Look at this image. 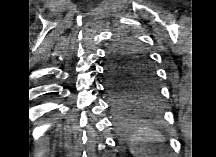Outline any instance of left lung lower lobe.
Returning a JSON list of instances; mask_svg holds the SVG:
<instances>
[{
  "instance_id": "0a47b994",
  "label": "left lung lower lobe",
  "mask_w": 216,
  "mask_h": 157,
  "mask_svg": "<svg viewBox=\"0 0 216 157\" xmlns=\"http://www.w3.org/2000/svg\"><path fill=\"white\" fill-rule=\"evenodd\" d=\"M106 74V88L111 95L112 106L117 115V128L122 134H130L139 122L133 110V89L111 82L107 73V65Z\"/></svg>"
}]
</instances>
